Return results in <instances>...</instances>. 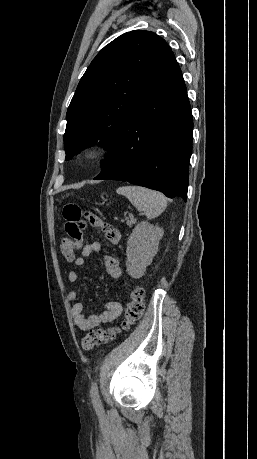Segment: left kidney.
Here are the masks:
<instances>
[{
  "label": "left kidney",
  "instance_id": "left-kidney-1",
  "mask_svg": "<svg viewBox=\"0 0 257 459\" xmlns=\"http://www.w3.org/2000/svg\"><path fill=\"white\" fill-rule=\"evenodd\" d=\"M163 234L162 228L146 221L135 226L127 241L126 250V268L132 278L139 279L144 275L158 251Z\"/></svg>",
  "mask_w": 257,
  "mask_h": 459
}]
</instances>
